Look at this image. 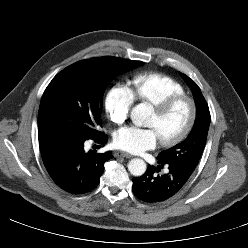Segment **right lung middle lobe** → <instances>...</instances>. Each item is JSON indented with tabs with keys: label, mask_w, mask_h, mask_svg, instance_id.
I'll return each instance as SVG.
<instances>
[{
	"label": "right lung middle lobe",
	"mask_w": 248,
	"mask_h": 248,
	"mask_svg": "<svg viewBox=\"0 0 248 248\" xmlns=\"http://www.w3.org/2000/svg\"><path fill=\"white\" fill-rule=\"evenodd\" d=\"M142 62L101 57L76 62L58 73L45 89L38 113V134L65 132L88 138L99 134L102 96L119 74Z\"/></svg>",
	"instance_id": "1"
}]
</instances>
